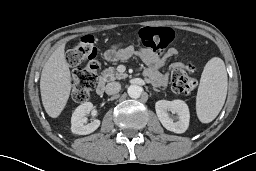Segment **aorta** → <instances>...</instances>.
<instances>
[{"mask_svg": "<svg viewBox=\"0 0 256 171\" xmlns=\"http://www.w3.org/2000/svg\"><path fill=\"white\" fill-rule=\"evenodd\" d=\"M128 95L131 97V98H139L141 96V93H142V88L138 85H130L128 87Z\"/></svg>", "mask_w": 256, "mask_h": 171, "instance_id": "obj_1", "label": "aorta"}]
</instances>
